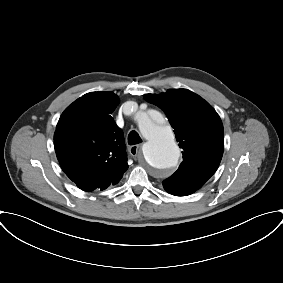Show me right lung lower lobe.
<instances>
[{
	"label": "right lung lower lobe",
	"instance_id": "obj_1",
	"mask_svg": "<svg viewBox=\"0 0 283 283\" xmlns=\"http://www.w3.org/2000/svg\"><path fill=\"white\" fill-rule=\"evenodd\" d=\"M61 168H62L63 170H65V169L67 168V165H66V164H61Z\"/></svg>",
	"mask_w": 283,
	"mask_h": 283
}]
</instances>
